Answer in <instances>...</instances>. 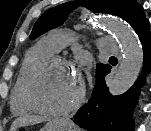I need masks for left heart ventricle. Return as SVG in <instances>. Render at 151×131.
Masks as SVG:
<instances>
[{"instance_id":"1","label":"left heart ventricle","mask_w":151,"mask_h":131,"mask_svg":"<svg viewBox=\"0 0 151 131\" xmlns=\"http://www.w3.org/2000/svg\"><path fill=\"white\" fill-rule=\"evenodd\" d=\"M79 88L80 78L73 69L55 65L36 78L34 92L44 106L58 108L70 102Z\"/></svg>"}]
</instances>
